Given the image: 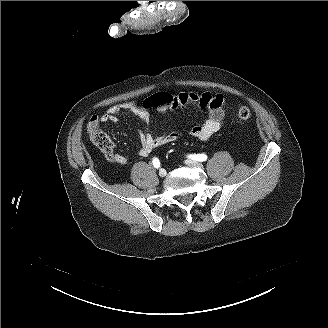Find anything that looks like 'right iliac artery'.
I'll list each match as a JSON object with an SVG mask.
<instances>
[{
	"instance_id": "1",
	"label": "right iliac artery",
	"mask_w": 328,
	"mask_h": 328,
	"mask_svg": "<svg viewBox=\"0 0 328 328\" xmlns=\"http://www.w3.org/2000/svg\"><path fill=\"white\" fill-rule=\"evenodd\" d=\"M152 163H153V166H154L155 168L158 169V168L160 167V161H159L158 158H154L153 161H152Z\"/></svg>"
}]
</instances>
